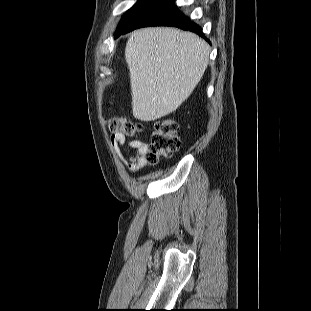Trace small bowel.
Listing matches in <instances>:
<instances>
[{
    "mask_svg": "<svg viewBox=\"0 0 311 311\" xmlns=\"http://www.w3.org/2000/svg\"><path fill=\"white\" fill-rule=\"evenodd\" d=\"M111 143L118 159L130 172H137L146 164V155L149 151L147 143L136 139L128 140L127 136L122 133L114 134ZM121 147L130 151L127 157L121 153Z\"/></svg>",
    "mask_w": 311,
    "mask_h": 311,
    "instance_id": "c3829d8e",
    "label": "small bowel"
}]
</instances>
